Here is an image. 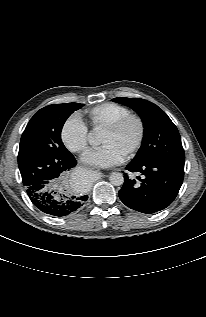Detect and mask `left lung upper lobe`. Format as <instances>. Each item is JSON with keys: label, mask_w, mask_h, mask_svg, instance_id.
Masks as SVG:
<instances>
[{"label": "left lung upper lobe", "mask_w": 206, "mask_h": 317, "mask_svg": "<svg viewBox=\"0 0 206 317\" xmlns=\"http://www.w3.org/2000/svg\"><path fill=\"white\" fill-rule=\"evenodd\" d=\"M112 101L132 108L143 122L142 144L130 163L157 161L184 167L185 155L178 129L163 110L140 98L120 97Z\"/></svg>", "instance_id": "1"}]
</instances>
